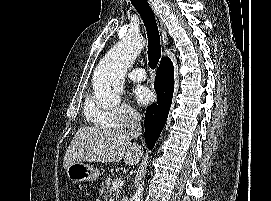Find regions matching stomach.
I'll return each instance as SVG.
<instances>
[{
  "mask_svg": "<svg viewBox=\"0 0 271 201\" xmlns=\"http://www.w3.org/2000/svg\"><path fill=\"white\" fill-rule=\"evenodd\" d=\"M67 177L73 183L93 182L101 175V171L84 162H76L66 168Z\"/></svg>",
  "mask_w": 271,
  "mask_h": 201,
  "instance_id": "obj_1",
  "label": "stomach"
}]
</instances>
